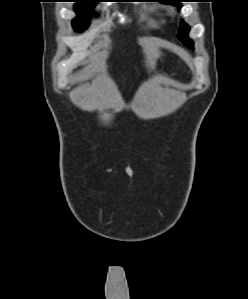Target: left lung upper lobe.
Wrapping results in <instances>:
<instances>
[{"instance_id":"5c2ea615","label":"left lung upper lobe","mask_w":248,"mask_h":299,"mask_svg":"<svg viewBox=\"0 0 248 299\" xmlns=\"http://www.w3.org/2000/svg\"><path fill=\"white\" fill-rule=\"evenodd\" d=\"M182 0H166L165 3H169L172 5H177L178 9H180L182 7L181 4ZM189 26L182 21L181 25H180V30H179V34H178V38L188 47L193 48V42L188 39L187 34L189 32Z\"/></svg>"}]
</instances>
